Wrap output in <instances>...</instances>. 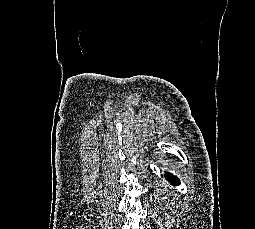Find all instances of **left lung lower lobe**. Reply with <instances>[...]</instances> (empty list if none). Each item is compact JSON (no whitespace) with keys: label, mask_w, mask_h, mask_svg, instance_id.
Segmentation results:
<instances>
[{"label":"left lung lower lobe","mask_w":255,"mask_h":229,"mask_svg":"<svg viewBox=\"0 0 255 229\" xmlns=\"http://www.w3.org/2000/svg\"><path fill=\"white\" fill-rule=\"evenodd\" d=\"M165 177L166 179L173 185H178L179 184V180L178 178L174 177L171 173L166 172L165 173Z\"/></svg>","instance_id":"left-lung-lower-lobe-1"}]
</instances>
